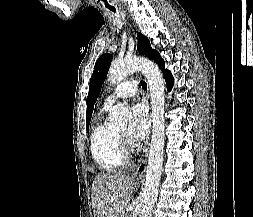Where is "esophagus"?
I'll return each instance as SVG.
<instances>
[{
	"instance_id": "1",
	"label": "esophagus",
	"mask_w": 253,
	"mask_h": 217,
	"mask_svg": "<svg viewBox=\"0 0 253 217\" xmlns=\"http://www.w3.org/2000/svg\"><path fill=\"white\" fill-rule=\"evenodd\" d=\"M148 98H150V94L148 92ZM149 154V147H147L144 151V158L140 162V164L137 166L133 177L137 180H141L144 177L145 170H146V164H147V158Z\"/></svg>"
}]
</instances>
